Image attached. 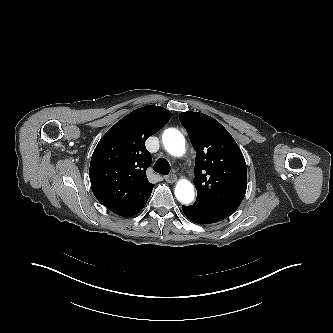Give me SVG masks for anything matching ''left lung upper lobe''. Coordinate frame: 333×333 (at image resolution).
Here are the masks:
<instances>
[{
  "label": "left lung upper lobe",
  "instance_id": "obj_1",
  "mask_svg": "<svg viewBox=\"0 0 333 333\" xmlns=\"http://www.w3.org/2000/svg\"><path fill=\"white\" fill-rule=\"evenodd\" d=\"M179 119L196 150V201L230 216L247 188L246 163L240 148L230 133L208 115L187 111L180 113Z\"/></svg>",
  "mask_w": 333,
  "mask_h": 333
}]
</instances>
